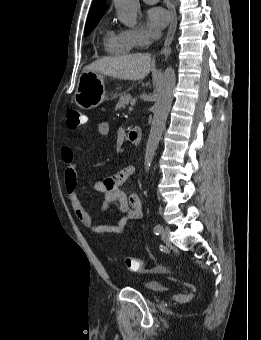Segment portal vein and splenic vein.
I'll return each mask as SVG.
<instances>
[{"instance_id":"portal-vein-and-splenic-vein-1","label":"portal vein and splenic vein","mask_w":261,"mask_h":340,"mask_svg":"<svg viewBox=\"0 0 261 340\" xmlns=\"http://www.w3.org/2000/svg\"><path fill=\"white\" fill-rule=\"evenodd\" d=\"M132 110H133V107H132V106H130V107H129V111H132Z\"/></svg>"}]
</instances>
